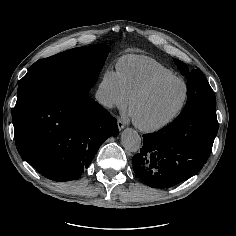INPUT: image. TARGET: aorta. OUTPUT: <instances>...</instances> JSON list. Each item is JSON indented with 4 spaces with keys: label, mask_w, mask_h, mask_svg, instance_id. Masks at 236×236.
<instances>
[{
    "label": "aorta",
    "mask_w": 236,
    "mask_h": 236,
    "mask_svg": "<svg viewBox=\"0 0 236 236\" xmlns=\"http://www.w3.org/2000/svg\"><path fill=\"white\" fill-rule=\"evenodd\" d=\"M121 143L127 151L135 153L141 147V138L134 129L127 128L121 134Z\"/></svg>",
    "instance_id": "obj_1"
}]
</instances>
